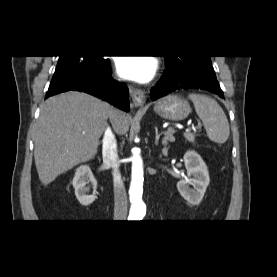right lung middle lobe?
Returning <instances> with one entry per match:
<instances>
[{
  "label": "right lung middle lobe",
  "mask_w": 277,
  "mask_h": 277,
  "mask_svg": "<svg viewBox=\"0 0 277 277\" xmlns=\"http://www.w3.org/2000/svg\"><path fill=\"white\" fill-rule=\"evenodd\" d=\"M109 63L108 59L95 56H59L49 89L88 80Z\"/></svg>",
  "instance_id": "obj_1"
}]
</instances>
